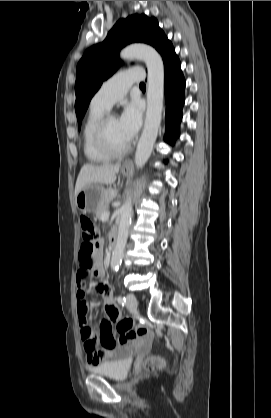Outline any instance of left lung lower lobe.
I'll use <instances>...</instances> for the list:
<instances>
[{
	"instance_id": "1",
	"label": "left lung lower lobe",
	"mask_w": 271,
	"mask_h": 418,
	"mask_svg": "<svg viewBox=\"0 0 271 418\" xmlns=\"http://www.w3.org/2000/svg\"><path fill=\"white\" fill-rule=\"evenodd\" d=\"M164 61V88L166 99V135L165 140L174 144L179 136L182 119V107L185 101V79L181 63L171 42L167 39L159 52Z\"/></svg>"
}]
</instances>
